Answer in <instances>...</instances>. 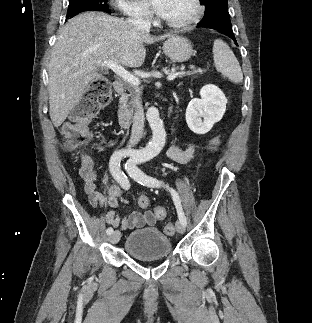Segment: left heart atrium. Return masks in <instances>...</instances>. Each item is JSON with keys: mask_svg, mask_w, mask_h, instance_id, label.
<instances>
[{"mask_svg": "<svg viewBox=\"0 0 312 323\" xmlns=\"http://www.w3.org/2000/svg\"><path fill=\"white\" fill-rule=\"evenodd\" d=\"M147 8H157L158 12H170L171 6L164 5L166 0H145Z\"/></svg>", "mask_w": 312, "mask_h": 323, "instance_id": "39dd6f15", "label": "left heart atrium"}]
</instances>
